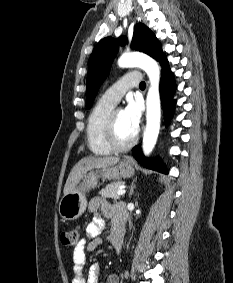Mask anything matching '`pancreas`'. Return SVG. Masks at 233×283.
Returning a JSON list of instances; mask_svg holds the SVG:
<instances>
[{
    "label": "pancreas",
    "mask_w": 233,
    "mask_h": 283,
    "mask_svg": "<svg viewBox=\"0 0 233 283\" xmlns=\"http://www.w3.org/2000/svg\"><path fill=\"white\" fill-rule=\"evenodd\" d=\"M124 185V182H112L105 186L101 191H99V195L103 198H112L117 200L120 198V195L117 194V191L121 186Z\"/></svg>",
    "instance_id": "1"
}]
</instances>
